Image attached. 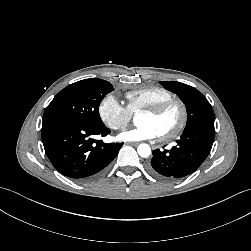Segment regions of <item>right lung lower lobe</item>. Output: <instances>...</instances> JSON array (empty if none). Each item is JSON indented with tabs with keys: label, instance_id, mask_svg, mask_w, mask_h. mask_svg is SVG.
<instances>
[{
	"label": "right lung lower lobe",
	"instance_id": "obj_1",
	"mask_svg": "<svg viewBox=\"0 0 251 251\" xmlns=\"http://www.w3.org/2000/svg\"><path fill=\"white\" fill-rule=\"evenodd\" d=\"M109 133L104 124L56 120L43 124L42 141L47 157L61 174L85 181L102 173L122 147V143L106 144L93 138Z\"/></svg>",
	"mask_w": 251,
	"mask_h": 251
}]
</instances>
